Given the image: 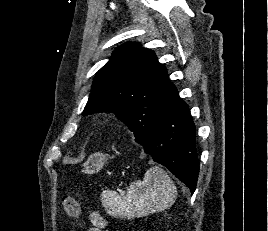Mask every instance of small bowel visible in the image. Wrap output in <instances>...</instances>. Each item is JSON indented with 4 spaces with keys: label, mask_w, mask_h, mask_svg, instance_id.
Returning <instances> with one entry per match:
<instances>
[{
    "label": "small bowel",
    "mask_w": 268,
    "mask_h": 231,
    "mask_svg": "<svg viewBox=\"0 0 268 231\" xmlns=\"http://www.w3.org/2000/svg\"><path fill=\"white\" fill-rule=\"evenodd\" d=\"M89 217L92 223V227L89 231H101V228H103L106 223L103 216L99 212L92 210L89 214Z\"/></svg>",
    "instance_id": "small-bowel-1"
}]
</instances>
